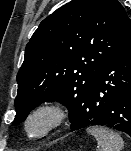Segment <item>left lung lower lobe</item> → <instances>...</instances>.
Wrapping results in <instances>:
<instances>
[{"mask_svg":"<svg viewBox=\"0 0 131 151\" xmlns=\"http://www.w3.org/2000/svg\"><path fill=\"white\" fill-rule=\"evenodd\" d=\"M92 125L131 136V47L104 66L71 128L75 131Z\"/></svg>","mask_w":131,"mask_h":151,"instance_id":"1","label":"left lung lower lobe"}]
</instances>
